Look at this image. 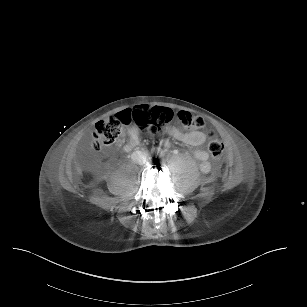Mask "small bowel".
Segmentation results:
<instances>
[{
  "instance_id": "1",
  "label": "small bowel",
  "mask_w": 307,
  "mask_h": 307,
  "mask_svg": "<svg viewBox=\"0 0 307 307\" xmlns=\"http://www.w3.org/2000/svg\"><path fill=\"white\" fill-rule=\"evenodd\" d=\"M166 132L169 136L176 139L177 141H180L186 145L189 146H199L203 144L207 140V134L203 131L193 129L189 132H183L180 129L176 127H168L166 129ZM128 143L126 145V149L130 150L133 147H135L139 142V133L136 128H132L128 131ZM164 145L168 147L170 144L169 142H165ZM194 157L201 161L200 168L202 171L206 172L209 170V154L204 150H195L194 151Z\"/></svg>"
}]
</instances>
